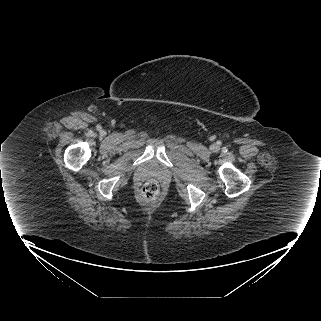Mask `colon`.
<instances>
[{
	"instance_id": "colon-1",
	"label": "colon",
	"mask_w": 321,
	"mask_h": 321,
	"mask_svg": "<svg viewBox=\"0 0 321 321\" xmlns=\"http://www.w3.org/2000/svg\"><path fill=\"white\" fill-rule=\"evenodd\" d=\"M160 192L159 184L156 181H149L143 185L142 194L148 200L155 199Z\"/></svg>"
}]
</instances>
